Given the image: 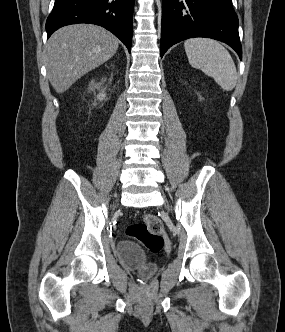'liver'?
<instances>
[{
	"label": "liver",
	"instance_id": "obj_1",
	"mask_svg": "<svg viewBox=\"0 0 285 332\" xmlns=\"http://www.w3.org/2000/svg\"><path fill=\"white\" fill-rule=\"evenodd\" d=\"M119 40L106 29L92 24L58 29L46 46L48 78L57 93L68 90L78 79L108 61Z\"/></svg>",
	"mask_w": 285,
	"mask_h": 332
}]
</instances>
